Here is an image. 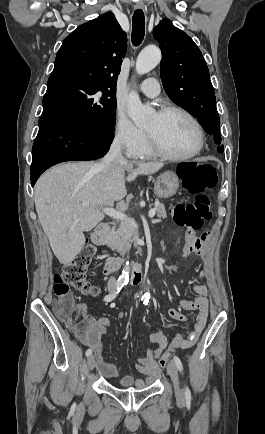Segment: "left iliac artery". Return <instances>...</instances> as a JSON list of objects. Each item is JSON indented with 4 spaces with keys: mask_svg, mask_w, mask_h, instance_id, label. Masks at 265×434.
<instances>
[{
    "mask_svg": "<svg viewBox=\"0 0 265 434\" xmlns=\"http://www.w3.org/2000/svg\"><path fill=\"white\" fill-rule=\"evenodd\" d=\"M173 360H174V363H175L176 367L178 368V370L182 372L183 371V365H182L180 358L177 356H174ZM185 399H186V401H189V402L191 401V392L187 386L185 387Z\"/></svg>",
    "mask_w": 265,
    "mask_h": 434,
    "instance_id": "1",
    "label": "left iliac artery"
}]
</instances>
